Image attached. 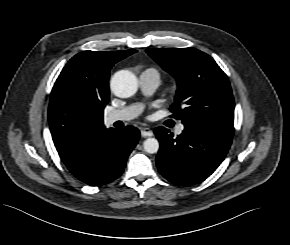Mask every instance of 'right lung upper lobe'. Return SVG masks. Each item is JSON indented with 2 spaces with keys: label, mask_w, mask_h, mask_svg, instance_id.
I'll list each match as a JSON object with an SVG mask.
<instances>
[{
  "label": "right lung upper lobe",
  "mask_w": 290,
  "mask_h": 245,
  "mask_svg": "<svg viewBox=\"0 0 290 245\" xmlns=\"http://www.w3.org/2000/svg\"><path fill=\"white\" fill-rule=\"evenodd\" d=\"M135 52L84 51L72 57L61 71L51 92L48 120L63 161L80 154L106 129L102 118L109 100V71Z\"/></svg>",
  "instance_id": "right-lung-upper-lobe-1"
}]
</instances>
